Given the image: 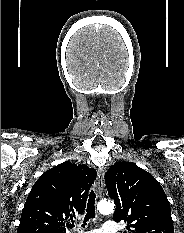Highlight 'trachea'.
Instances as JSON below:
<instances>
[{
    "mask_svg": "<svg viewBox=\"0 0 184 233\" xmlns=\"http://www.w3.org/2000/svg\"><path fill=\"white\" fill-rule=\"evenodd\" d=\"M95 198H96V194L94 191H92L88 199L86 215H85L82 227H85L86 222L88 220L95 218ZM74 226L75 225L72 224L70 227L73 228Z\"/></svg>",
    "mask_w": 184,
    "mask_h": 233,
    "instance_id": "obj_1",
    "label": "trachea"
}]
</instances>
